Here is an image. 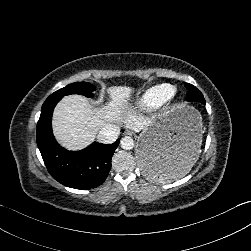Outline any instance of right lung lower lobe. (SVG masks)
<instances>
[{"label": "right lung lower lobe", "instance_id": "right-lung-lower-lobe-1", "mask_svg": "<svg viewBox=\"0 0 251 251\" xmlns=\"http://www.w3.org/2000/svg\"><path fill=\"white\" fill-rule=\"evenodd\" d=\"M61 98L50 96L44 102L37 123V145L51 176L75 189H91L103 184L120 139L112 144L94 142L81 151L61 147L52 133V113Z\"/></svg>", "mask_w": 251, "mask_h": 251}]
</instances>
